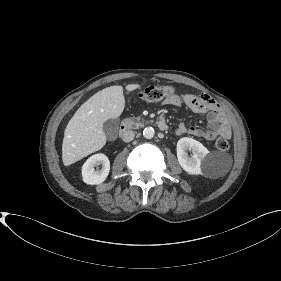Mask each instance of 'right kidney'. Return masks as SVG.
<instances>
[{
    "mask_svg": "<svg viewBox=\"0 0 281 281\" xmlns=\"http://www.w3.org/2000/svg\"><path fill=\"white\" fill-rule=\"evenodd\" d=\"M101 165V170L94 167ZM110 171V161L105 154L98 153L92 155L82 166L83 181L89 185H97L105 181Z\"/></svg>",
    "mask_w": 281,
    "mask_h": 281,
    "instance_id": "ca27d5eb",
    "label": "right kidney"
}]
</instances>
